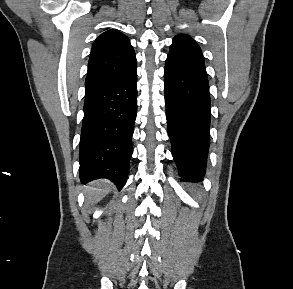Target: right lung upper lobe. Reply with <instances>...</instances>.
Instances as JSON below:
<instances>
[{
    "instance_id": "cb5924a9",
    "label": "right lung upper lobe",
    "mask_w": 293,
    "mask_h": 289,
    "mask_svg": "<svg viewBox=\"0 0 293 289\" xmlns=\"http://www.w3.org/2000/svg\"><path fill=\"white\" fill-rule=\"evenodd\" d=\"M136 70V54L129 38L115 29L105 31L92 45L85 96L128 81Z\"/></svg>"
}]
</instances>
